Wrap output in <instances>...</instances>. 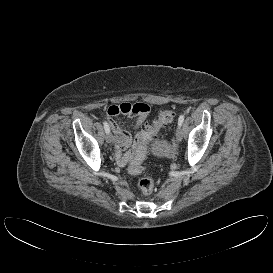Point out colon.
Returning a JSON list of instances; mask_svg holds the SVG:
<instances>
[{"label":"colon","instance_id":"5ec220e1","mask_svg":"<svg viewBox=\"0 0 273 273\" xmlns=\"http://www.w3.org/2000/svg\"><path fill=\"white\" fill-rule=\"evenodd\" d=\"M175 118L172 110H163L158 118L151 125H145L142 129V138L135 147L133 156L130 160L128 170L132 175H139L145 170V159L147 156L148 143L157 135L158 131L171 123ZM138 187L143 195H150L154 189V180L149 176L139 179Z\"/></svg>","mask_w":273,"mask_h":273}]
</instances>
